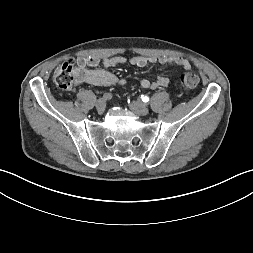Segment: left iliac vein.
Segmentation results:
<instances>
[{
    "mask_svg": "<svg viewBox=\"0 0 253 253\" xmlns=\"http://www.w3.org/2000/svg\"><path fill=\"white\" fill-rule=\"evenodd\" d=\"M129 106H130V109L134 113H136L137 115L145 116L149 113L148 107L145 104L141 103V102L132 101Z\"/></svg>",
    "mask_w": 253,
    "mask_h": 253,
    "instance_id": "1",
    "label": "left iliac vein"
}]
</instances>
